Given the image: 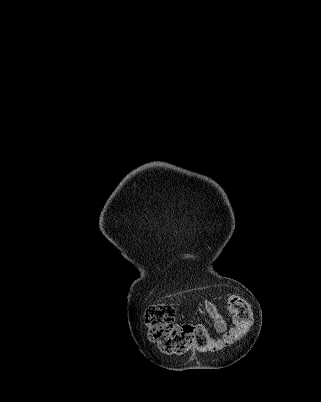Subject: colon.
I'll use <instances>...</instances> for the list:
<instances>
[{
	"label": "colon",
	"instance_id": "colon-1",
	"mask_svg": "<svg viewBox=\"0 0 321 402\" xmlns=\"http://www.w3.org/2000/svg\"><path fill=\"white\" fill-rule=\"evenodd\" d=\"M228 311L233 326L222 336L215 337L202 324H181L175 321L172 303L150 306L145 315L149 339L161 351L182 354L192 350L215 352L240 339L252 324V312L245 299L232 295L228 300Z\"/></svg>",
	"mask_w": 321,
	"mask_h": 402
}]
</instances>
